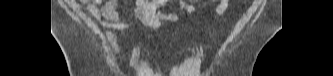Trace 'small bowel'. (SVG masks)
<instances>
[{
  "label": "small bowel",
  "instance_id": "small-bowel-1",
  "mask_svg": "<svg viewBox=\"0 0 333 76\" xmlns=\"http://www.w3.org/2000/svg\"><path fill=\"white\" fill-rule=\"evenodd\" d=\"M174 2L181 9L193 14L196 8L192 1H152V0H136L130 8H119L118 1L115 0H85L86 11L98 21L105 29L107 40L115 52L119 51V43L117 31L127 29L128 25L123 22V19L128 16H133L140 19L148 26L156 29L159 28L164 21L177 23L180 21L178 15L173 13H165L162 6ZM229 6L228 0H221L217 6V15L223 14Z\"/></svg>",
  "mask_w": 333,
  "mask_h": 76
}]
</instances>
